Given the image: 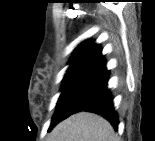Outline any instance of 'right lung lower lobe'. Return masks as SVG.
I'll use <instances>...</instances> for the list:
<instances>
[{
  "label": "right lung lower lobe",
  "instance_id": "1",
  "mask_svg": "<svg viewBox=\"0 0 155 141\" xmlns=\"http://www.w3.org/2000/svg\"><path fill=\"white\" fill-rule=\"evenodd\" d=\"M108 76L109 71L106 70L104 64L65 104L62 108L63 114L60 121L74 113L87 111L103 116L117 130L118 117L114 111L110 91L107 88Z\"/></svg>",
  "mask_w": 155,
  "mask_h": 141
}]
</instances>
